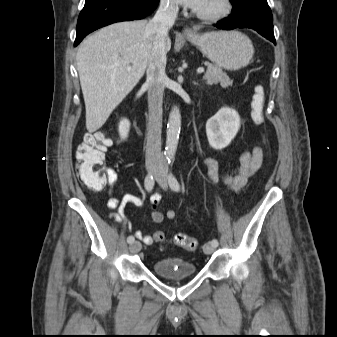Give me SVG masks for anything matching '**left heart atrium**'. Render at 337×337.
<instances>
[{"mask_svg":"<svg viewBox=\"0 0 337 337\" xmlns=\"http://www.w3.org/2000/svg\"><path fill=\"white\" fill-rule=\"evenodd\" d=\"M179 4L192 8L194 10H199L205 0H176Z\"/></svg>","mask_w":337,"mask_h":337,"instance_id":"39dd6f15","label":"left heart atrium"}]
</instances>
